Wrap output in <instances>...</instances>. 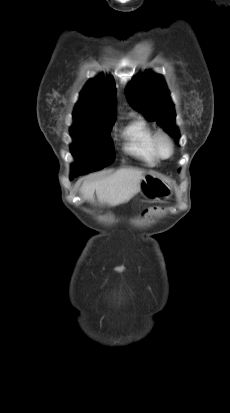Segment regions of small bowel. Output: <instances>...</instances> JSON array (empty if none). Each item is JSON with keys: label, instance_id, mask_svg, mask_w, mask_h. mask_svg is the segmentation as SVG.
<instances>
[{"label": "small bowel", "instance_id": "small-bowel-1", "mask_svg": "<svg viewBox=\"0 0 230 413\" xmlns=\"http://www.w3.org/2000/svg\"><path fill=\"white\" fill-rule=\"evenodd\" d=\"M167 208L166 207H158L154 205H146L145 210L142 211V216L143 217H148L151 216L154 213L158 212H166Z\"/></svg>", "mask_w": 230, "mask_h": 413}]
</instances>
